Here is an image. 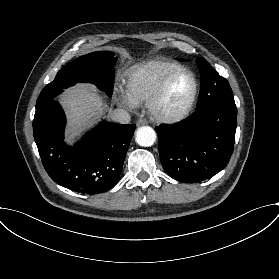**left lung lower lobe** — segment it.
<instances>
[{
  "label": "left lung lower lobe",
  "mask_w": 279,
  "mask_h": 279,
  "mask_svg": "<svg viewBox=\"0 0 279 279\" xmlns=\"http://www.w3.org/2000/svg\"><path fill=\"white\" fill-rule=\"evenodd\" d=\"M236 127L237 111L216 105L174 125L156 127L164 170L184 183L214 176L229 163Z\"/></svg>",
  "instance_id": "1"
}]
</instances>
